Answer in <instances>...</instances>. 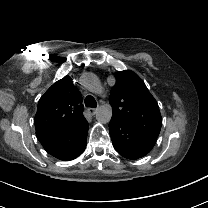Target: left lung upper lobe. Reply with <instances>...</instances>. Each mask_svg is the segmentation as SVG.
<instances>
[{"mask_svg": "<svg viewBox=\"0 0 208 208\" xmlns=\"http://www.w3.org/2000/svg\"><path fill=\"white\" fill-rule=\"evenodd\" d=\"M115 76L116 84L109 98L112 117L130 124L155 144L162 125L158 103L133 71H119Z\"/></svg>", "mask_w": 208, "mask_h": 208, "instance_id": "left-lung-upper-lobe-1", "label": "left lung upper lobe"}]
</instances>
